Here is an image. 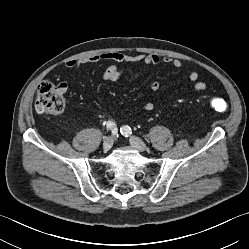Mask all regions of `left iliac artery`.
<instances>
[{"label": "left iliac artery", "mask_w": 249, "mask_h": 249, "mask_svg": "<svg viewBox=\"0 0 249 249\" xmlns=\"http://www.w3.org/2000/svg\"><path fill=\"white\" fill-rule=\"evenodd\" d=\"M120 132L125 137H128L132 133L131 128L129 126H123L122 128H120Z\"/></svg>", "instance_id": "1"}]
</instances>
